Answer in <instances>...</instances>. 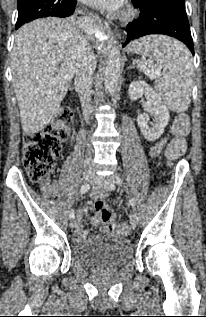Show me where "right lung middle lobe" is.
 Returning a JSON list of instances; mask_svg holds the SVG:
<instances>
[{
	"label": "right lung middle lobe",
	"instance_id": "right-lung-middle-lobe-1",
	"mask_svg": "<svg viewBox=\"0 0 206 317\" xmlns=\"http://www.w3.org/2000/svg\"><path fill=\"white\" fill-rule=\"evenodd\" d=\"M70 0H18V19L16 28L26 22L47 16H58L60 2Z\"/></svg>",
	"mask_w": 206,
	"mask_h": 317
}]
</instances>
